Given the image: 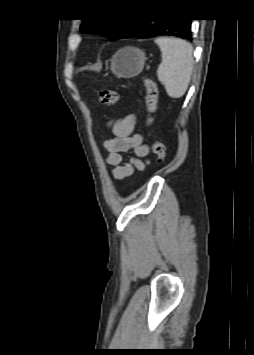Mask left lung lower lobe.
<instances>
[{
  "instance_id": "left-lung-lower-lobe-1",
  "label": "left lung lower lobe",
  "mask_w": 254,
  "mask_h": 355,
  "mask_svg": "<svg viewBox=\"0 0 254 355\" xmlns=\"http://www.w3.org/2000/svg\"><path fill=\"white\" fill-rule=\"evenodd\" d=\"M191 20L189 18H132L122 35L117 39H145L159 35H172L191 40Z\"/></svg>"
}]
</instances>
